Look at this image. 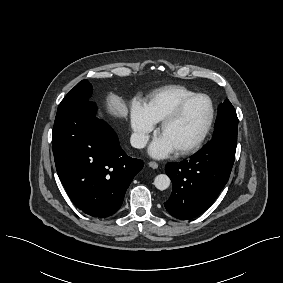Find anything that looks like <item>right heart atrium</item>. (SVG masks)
<instances>
[{"mask_svg":"<svg viewBox=\"0 0 283 283\" xmlns=\"http://www.w3.org/2000/svg\"><path fill=\"white\" fill-rule=\"evenodd\" d=\"M130 123L133 130L134 145L143 148L154 130V123L146 117L143 107L139 103L132 105Z\"/></svg>","mask_w":283,"mask_h":283,"instance_id":"obj_1","label":"right heart atrium"}]
</instances>
